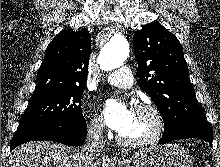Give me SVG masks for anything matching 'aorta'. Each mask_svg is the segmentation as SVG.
I'll return each instance as SVG.
<instances>
[{"label":"aorta","mask_w":220,"mask_h":167,"mask_svg":"<svg viewBox=\"0 0 220 167\" xmlns=\"http://www.w3.org/2000/svg\"><path fill=\"white\" fill-rule=\"evenodd\" d=\"M129 52V44L126 39L117 35L103 47L98 57V63L102 70L111 71L123 65Z\"/></svg>","instance_id":"aorta-1"}]
</instances>
